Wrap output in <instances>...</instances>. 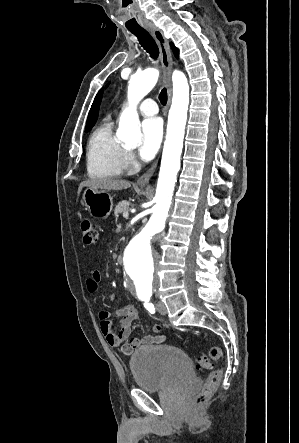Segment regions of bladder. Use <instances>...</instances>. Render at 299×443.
I'll return each instance as SVG.
<instances>
[{"mask_svg": "<svg viewBox=\"0 0 299 443\" xmlns=\"http://www.w3.org/2000/svg\"><path fill=\"white\" fill-rule=\"evenodd\" d=\"M134 382L144 390H162L194 378L192 362L180 348L158 344L136 350L129 359Z\"/></svg>", "mask_w": 299, "mask_h": 443, "instance_id": "31cf9c89", "label": "bladder"}]
</instances>
